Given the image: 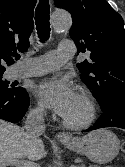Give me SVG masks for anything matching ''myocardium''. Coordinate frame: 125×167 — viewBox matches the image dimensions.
Returning a JSON list of instances; mask_svg holds the SVG:
<instances>
[{"mask_svg":"<svg viewBox=\"0 0 125 167\" xmlns=\"http://www.w3.org/2000/svg\"><path fill=\"white\" fill-rule=\"evenodd\" d=\"M78 94L83 98L85 101L87 107H88V115L86 119H84L81 122H71L67 120L65 117L62 118V124L71 130H83L87 127H89L93 121L96 118V113H97V107H96V102L91 95V93L84 89V88H79Z\"/></svg>","mask_w":125,"mask_h":167,"instance_id":"myocardium-1","label":"myocardium"}]
</instances>
